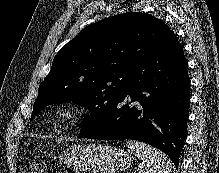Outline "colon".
<instances>
[{"mask_svg":"<svg viewBox=\"0 0 219 173\" xmlns=\"http://www.w3.org/2000/svg\"><path fill=\"white\" fill-rule=\"evenodd\" d=\"M29 173H45V165L40 160H35L31 163Z\"/></svg>","mask_w":219,"mask_h":173,"instance_id":"5ec220e1","label":"colon"}]
</instances>
